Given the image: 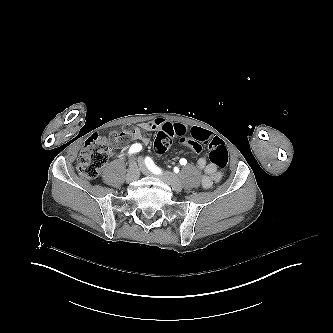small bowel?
I'll return each instance as SVG.
<instances>
[{
    "instance_id": "c3829d8e",
    "label": "small bowel",
    "mask_w": 333,
    "mask_h": 333,
    "mask_svg": "<svg viewBox=\"0 0 333 333\" xmlns=\"http://www.w3.org/2000/svg\"><path fill=\"white\" fill-rule=\"evenodd\" d=\"M166 127H172V125L163 118H155L150 121L142 122L137 127L130 129L133 132L132 135H130V139L134 141L135 144H148L149 138L142 134L143 131L151 132L163 130ZM182 130L186 133L189 129L185 126ZM190 133L192 137L207 138L211 136L208 131L201 128H192ZM182 142L185 143L186 140H182ZM197 165L204 172V175L201 179V184L204 189H209L220 181L221 173L213 164H208L205 158H199Z\"/></svg>"
}]
</instances>
